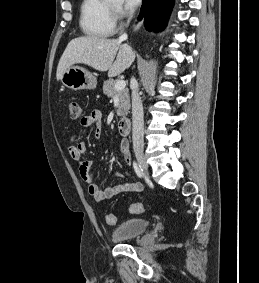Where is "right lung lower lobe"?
I'll use <instances>...</instances> for the list:
<instances>
[{"label": "right lung lower lobe", "mask_w": 259, "mask_h": 283, "mask_svg": "<svg viewBox=\"0 0 259 283\" xmlns=\"http://www.w3.org/2000/svg\"><path fill=\"white\" fill-rule=\"evenodd\" d=\"M174 0H143L139 20L144 17L148 31L163 30L167 24Z\"/></svg>", "instance_id": "98d812e1"}]
</instances>
